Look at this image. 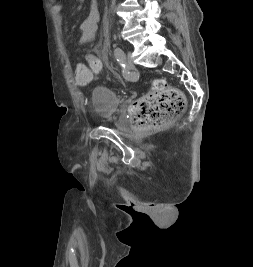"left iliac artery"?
Instances as JSON below:
<instances>
[{
	"label": "left iliac artery",
	"mask_w": 253,
	"mask_h": 267,
	"mask_svg": "<svg viewBox=\"0 0 253 267\" xmlns=\"http://www.w3.org/2000/svg\"><path fill=\"white\" fill-rule=\"evenodd\" d=\"M118 50L120 52H118ZM122 49L119 48V47H115V50H114V55H115V58L117 60V62L123 67L125 68L126 64H125V59H124V56L122 55Z\"/></svg>",
	"instance_id": "1"
}]
</instances>
